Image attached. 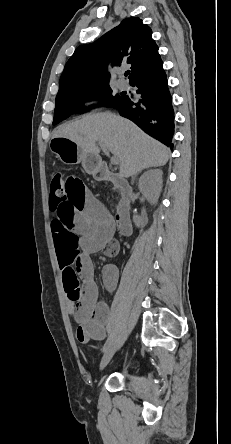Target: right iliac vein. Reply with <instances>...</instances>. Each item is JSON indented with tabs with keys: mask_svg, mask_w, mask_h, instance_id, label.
<instances>
[{
	"mask_svg": "<svg viewBox=\"0 0 231 444\" xmlns=\"http://www.w3.org/2000/svg\"><path fill=\"white\" fill-rule=\"evenodd\" d=\"M115 350H116V344H113L105 351L100 363V370H103L105 366L109 363V361L111 360L112 356L115 353Z\"/></svg>",
	"mask_w": 231,
	"mask_h": 444,
	"instance_id": "63e3f726",
	"label": "right iliac vein"
}]
</instances>
